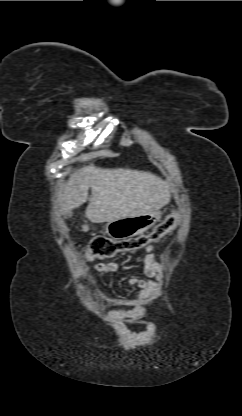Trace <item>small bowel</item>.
Listing matches in <instances>:
<instances>
[{"instance_id": "obj_1", "label": "small bowel", "mask_w": 242, "mask_h": 416, "mask_svg": "<svg viewBox=\"0 0 242 416\" xmlns=\"http://www.w3.org/2000/svg\"><path fill=\"white\" fill-rule=\"evenodd\" d=\"M119 268V263L115 261L96 263L92 266L93 270L104 274H114ZM143 271L148 279L139 277H130L128 279V284L130 286L140 290L137 298L132 300H120V305L109 312L111 321L122 330L125 329L126 321L137 319L145 314L154 297L157 286L162 279L163 268L157 260L153 246H147L145 248Z\"/></svg>"}]
</instances>
